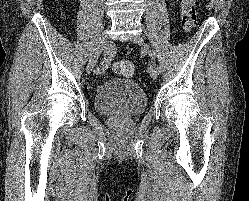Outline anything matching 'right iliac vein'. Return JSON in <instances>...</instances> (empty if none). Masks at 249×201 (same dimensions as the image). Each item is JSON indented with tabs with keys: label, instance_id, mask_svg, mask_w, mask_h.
Masks as SVG:
<instances>
[{
	"label": "right iliac vein",
	"instance_id": "1",
	"mask_svg": "<svg viewBox=\"0 0 249 201\" xmlns=\"http://www.w3.org/2000/svg\"><path fill=\"white\" fill-rule=\"evenodd\" d=\"M107 46H108V37L104 33L100 37L97 48L87 64L86 71L88 74L92 72V70L94 69V67L97 63V60H98L100 54L107 48Z\"/></svg>",
	"mask_w": 249,
	"mask_h": 201
}]
</instances>
